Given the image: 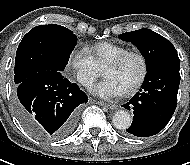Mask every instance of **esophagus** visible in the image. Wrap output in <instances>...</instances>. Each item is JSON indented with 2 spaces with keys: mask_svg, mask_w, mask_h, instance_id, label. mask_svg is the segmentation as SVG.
<instances>
[{
  "mask_svg": "<svg viewBox=\"0 0 190 165\" xmlns=\"http://www.w3.org/2000/svg\"><path fill=\"white\" fill-rule=\"evenodd\" d=\"M98 104L105 106L109 109H116L117 108V105H115V104H110V103H106V102H102V101L98 102Z\"/></svg>",
  "mask_w": 190,
  "mask_h": 165,
  "instance_id": "34e87169",
  "label": "esophagus"
}]
</instances>
